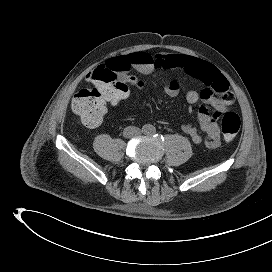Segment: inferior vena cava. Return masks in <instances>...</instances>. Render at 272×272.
<instances>
[{"label":"inferior vena cava","instance_id":"obj_1","mask_svg":"<svg viewBox=\"0 0 272 272\" xmlns=\"http://www.w3.org/2000/svg\"><path fill=\"white\" fill-rule=\"evenodd\" d=\"M141 130L138 127L135 126H128L124 129L123 135L126 138H131L138 136L140 134Z\"/></svg>","mask_w":272,"mask_h":272}]
</instances>
